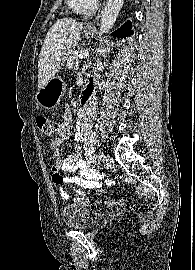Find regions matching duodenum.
<instances>
[{
	"mask_svg": "<svg viewBox=\"0 0 195 270\" xmlns=\"http://www.w3.org/2000/svg\"><path fill=\"white\" fill-rule=\"evenodd\" d=\"M94 79L91 78L88 80L82 95H81V104L85 107H88L92 104V100H93V91H94Z\"/></svg>",
	"mask_w": 195,
	"mask_h": 270,
	"instance_id": "duodenum-1",
	"label": "duodenum"
}]
</instances>
